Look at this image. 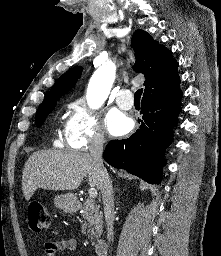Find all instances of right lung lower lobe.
I'll list each match as a JSON object with an SVG mask.
<instances>
[{"mask_svg": "<svg viewBox=\"0 0 221 256\" xmlns=\"http://www.w3.org/2000/svg\"><path fill=\"white\" fill-rule=\"evenodd\" d=\"M179 88L143 97L140 128L128 139L112 140L103 157L115 168L124 169L151 184L162 176L164 149L171 143V133L181 111Z\"/></svg>", "mask_w": 221, "mask_h": 256, "instance_id": "98d812e1", "label": "right lung lower lobe"}]
</instances>
